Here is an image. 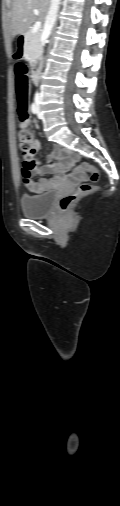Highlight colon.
I'll return each instance as SVG.
<instances>
[{
	"label": "colon",
	"mask_w": 120,
	"mask_h": 506,
	"mask_svg": "<svg viewBox=\"0 0 120 506\" xmlns=\"http://www.w3.org/2000/svg\"><path fill=\"white\" fill-rule=\"evenodd\" d=\"M13 55L19 64H24L26 62L27 52L26 56L20 59L16 58L15 54ZM28 77L29 72L24 67H19V69L15 71L17 114L21 124H25L28 121ZM17 139L23 158L24 168L30 171L34 170L37 166L35 156L39 148L38 141L35 140L31 132L26 128L19 130ZM75 170L80 172H88L90 174L91 183H81L75 192L63 196L58 203V207L61 211H66L76 200L93 192L95 189L94 183L98 182L100 179V173L98 169L92 164L82 162L75 167Z\"/></svg>",
	"instance_id": "colon-1"
}]
</instances>
